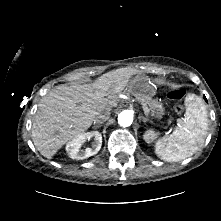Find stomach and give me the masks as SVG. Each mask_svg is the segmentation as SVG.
I'll list each match as a JSON object with an SVG mask.
<instances>
[{"instance_id":"stomach-1","label":"stomach","mask_w":221,"mask_h":221,"mask_svg":"<svg viewBox=\"0 0 221 221\" xmlns=\"http://www.w3.org/2000/svg\"><path fill=\"white\" fill-rule=\"evenodd\" d=\"M129 89L133 95L147 101H154L159 96L158 87L145 75L133 77L129 82Z\"/></svg>"}]
</instances>
